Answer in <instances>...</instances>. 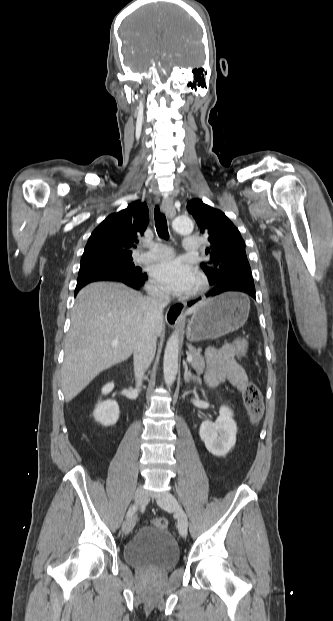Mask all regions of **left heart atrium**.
<instances>
[{
    "instance_id": "obj_1",
    "label": "left heart atrium",
    "mask_w": 333,
    "mask_h": 621,
    "mask_svg": "<svg viewBox=\"0 0 333 621\" xmlns=\"http://www.w3.org/2000/svg\"><path fill=\"white\" fill-rule=\"evenodd\" d=\"M151 276L166 291L186 294L197 285L196 271L180 259H168L152 267Z\"/></svg>"
}]
</instances>
